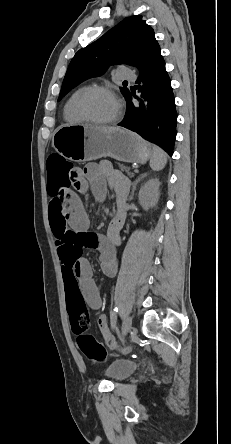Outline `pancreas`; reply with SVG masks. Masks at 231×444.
<instances>
[{
	"label": "pancreas",
	"instance_id": "pancreas-1",
	"mask_svg": "<svg viewBox=\"0 0 231 444\" xmlns=\"http://www.w3.org/2000/svg\"><path fill=\"white\" fill-rule=\"evenodd\" d=\"M118 166H119V169L122 172H125L128 176L132 177L134 175L132 172H130V167L125 166L123 164H118Z\"/></svg>",
	"mask_w": 231,
	"mask_h": 444
}]
</instances>
